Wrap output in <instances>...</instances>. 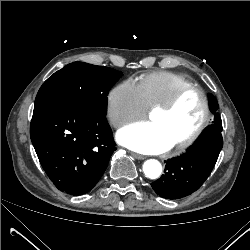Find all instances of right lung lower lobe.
Returning <instances> with one entry per match:
<instances>
[{
    "label": "right lung lower lobe",
    "instance_id": "right-lung-lower-lobe-1",
    "mask_svg": "<svg viewBox=\"0 0 250 250\" xmlns=\"http://www.w3.org/2000/svg\"><path fill=\"white\" fill-rule=\"evenodd\" d=\"M30 136L50 180L71 195L90 191L116 150L104 114L64 101L34 105Z\"/></svg>",
    "mask_w": 250,
    "mask_h": 250
}]
</instances>
